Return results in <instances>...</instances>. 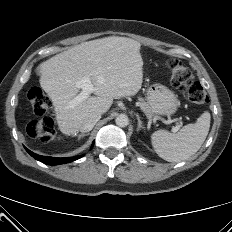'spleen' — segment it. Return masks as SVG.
Returning a JSON list of instances; mask_svg holds the SVG:
<instances>
[{
    "mask_svg": "<svg viewBox=\"0 0 232 232\" xmlns=\"http://www.w3.org/2000/svg\"><path fill=\"white\" fill-rule=\"evenodd\" d=\"M210 113L205 111L194 124L185 125L177 134L158 130L151 142L159 157L168 162H180L194 155L204 143L210 128Z\"/></svg>",
    "mask_w": 232,
    "mask_h": 232,
    "instance_id": "1",
    "label": "spleen"
}]
</instances>
